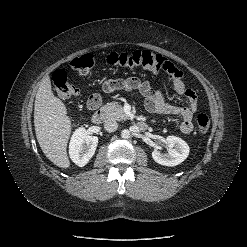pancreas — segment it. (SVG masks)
<instances>
[{
  "label": "pancreas",
  "instance_id": "obj_1",
  "mask_svg": "<svg viewBox=\"0 0 247 247\" xmlns=\"http://www.w3.org/2000/svg\"><path fill=\"white\" fill-rule=\"evenodd\" d=\"M102 111L105 113L107 118L122 121L128 118L124 112L123 107L118 102H110L104 105Z\"/></svg>",
  "mask_w": 247,
  "mask_h": 247
}]
</instances>
